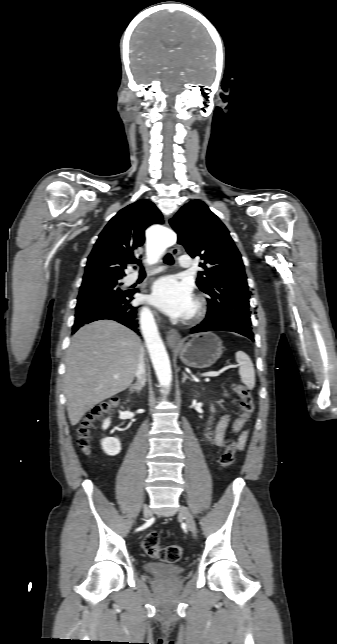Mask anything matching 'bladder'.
Wrapping results in <instances>:
<instances>
[{"instance_id":"31cf9c89","label":"bladder","mask_w":337,"mask_h":644,"mask_svg":"<svg viewBox=\"0 0 337 644\" xmlns=\"http://www.w3.org/2000/svg\"><path fill=\"white\" fill-rule=\"evenodd\" d=\"M145 572L157 577H177L185 571V567L181 564L162 563L155 561H146L143 564Z\"/></svg>"}]
</instances>
